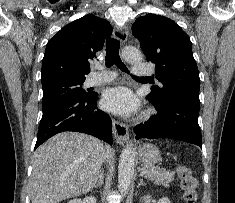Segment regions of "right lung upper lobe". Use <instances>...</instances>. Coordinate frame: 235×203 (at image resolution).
I'll use <instances>...</instances> for the list:
<instances>
[{"mask_svg":"<svg viewBox=\"0 0 235 203\" xmlns=\"http://www.w3.org/2000/svg\"><path fill=\"white\" fill-rule=\"evenodd\" d=\"M112 33L108 21L88 14L64 26L47 44L42 61V85L85 80L89 60Z\"/></svg>","mask_w":235,"mask_h":203,"instance_id":"obj_1","label":"right lung upper lobe"}]
</instances>
